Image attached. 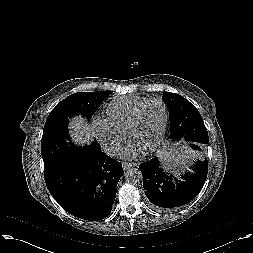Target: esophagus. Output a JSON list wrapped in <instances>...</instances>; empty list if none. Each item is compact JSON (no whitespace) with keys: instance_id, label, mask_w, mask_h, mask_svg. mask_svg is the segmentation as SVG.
<instances>
[{"instance_id":"34e87169","label":"esophagus","mask_w":253,"mask_h":253,"mask_svg":"<svg viewBox=\"0 0 253 253\" xmlns=\"http://www.w3.org/2000/svg\"><path fill=\"white\" fill-rule=\"evenodd\" d=\"M134 166H136L135 163H129V162H123L122 163V167H123L124 170H128V169H130Z\"/></svg>"}]
</instances>
